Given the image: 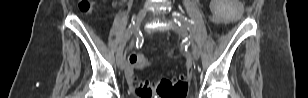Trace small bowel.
Wrapping results in <instances>:
<instances>
[{
    "mask_svg": "<svg viewBox=\"0 0 308 98\" xmlns=\"http://www.w3.org/2000/svg\"><path fill=\"white\" fill-rule=\"evenodd\" d=\"M127 76L130 80L133 78V71L130 67H128Z\"/></svg>",
    "mask_w": 308,
    "mask_h": 98,
    "instance_id": "obj_1",
    "label": "small bowel"
}]
</instances>
